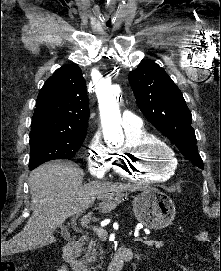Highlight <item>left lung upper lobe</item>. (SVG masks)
<instances>
[{
	"mask_svg": "<svg viewBox=\"0 0 221 271\" xmlns=\"http://www.w3.org/2000/svg\"><path fill=\"white\" fill-rule=\"evenodd\" d=\"M129 82L140 110L188 160L204 167L196 146L192 117L180 89L152 60L141 63L129 73Z\"/></svg>",
	"mask_w": 221,
	"mask_h": 271,
	"instance_id": "5c2ea615",
	"label": "left lung upper lobe"
}]
</instances>
